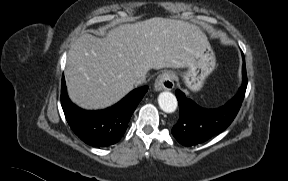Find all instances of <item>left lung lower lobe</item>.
Instances as JSON below:
<instances>
[{"mask_svg":"<svg viewBox=\"0 0 288 181\" xmlns=\"http://www.w3.org/2000/svg\"><path fill=\"white\" fill-rule=\"evenodd\" d=\"M244 61V57H243ZM247 87L245 61L243 64V83L236 96L217 109H204L176 90L180 117L172 128V134L184 146L203 143L212 136L224 131L236 117Z\"/></svg>","mask_w":288,"mask_h":181,"instance_id":"left-lung-lower-lobe-1","label":"left lung lower lobe"}]
</instances>
